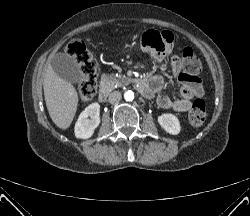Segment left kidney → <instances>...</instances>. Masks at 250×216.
I'll use <instances>...</instances> for the list:
<instances>
[{
    "label": "left kidney",
    "mask_w": 250,
    "mask_h": 216,
    "mask_svg": "<svg viewBox=\"0 0 250 216\" xmlns=\"http://www.w3.org/2000/svg\"><path fill=\"white\" fill-rule=\"evenodd\" d=\"M158 123L169 134L178 135L181 126L178 118L173 114H162L158 116Z\"/></svg>",
    "instance_id": "obj_1"
}]
</instances>
